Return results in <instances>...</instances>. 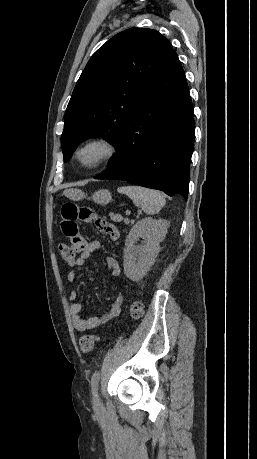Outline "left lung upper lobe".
<instances>
[{
	"instance_id": "1",
	"label": "left lung upper lobe",
	"mask_w": 257,
	"mask_h": 459,
	"mask_svg": "<svg viewBox=\"0 0 257 459\" xmlns=\"http://www.w3.org/2000/svg\"><path fill=\"white\" fill-rule=\"evenodd\" d=\"M172 51L158 31L130 28L92 55L65 112L61 136L64 162L88 138L102 137L117 146L124 122Z\"/></svg>"
}]
</instances>
